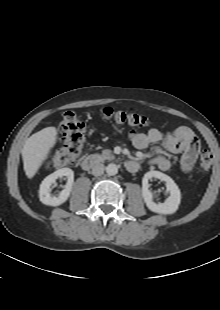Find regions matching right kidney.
<instances>
[{
    "label": "right kidney",
    "instance_id": "1",
    "mask_svg": "<svg viewBox=\"0 0 220 310\" xmlns=\"http://www.w3.org/2000/svg\"><path fill=\"white\" fill-rule=\"evenodd\" d=\"M65 176L67 178V183L64 186V189L59 193V195L52 196L51 185L56 182V179L62 178ZM74 182V172L70 168L59 169L52 174L48 175L40 184L39 189V198L40 201L49 206H59L63 204L70 196L72 186Z\"/></svg>",
    "mask_w": 220,
    "mask_h": 310
}]
</instances>
